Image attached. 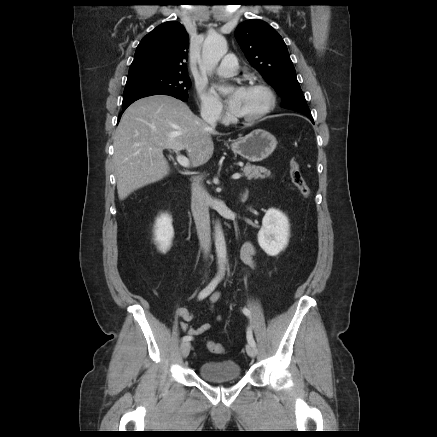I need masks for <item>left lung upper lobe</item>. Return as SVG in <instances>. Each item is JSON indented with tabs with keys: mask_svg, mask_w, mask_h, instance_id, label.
I'll list each match as a JSON object with an SVG mask.
<instances>
[{
	"mask_svg": "<svg viewBox=\"0 0 437 437\" xmlns=\"http://www.w3.org/2000/svg\"><path fill=\"white\" fill-rule=\"evenodd\" d=\"M235 38L247 60L282 97V107L311 116L286 44L278 32L259 19L238 25Z\"/></svg>",
	"mask_w": 437,
	"mask_h": 437,
	"instance_id": "5c2ea615",
	"label": "left lung upper lobe"
}]
</instances>
